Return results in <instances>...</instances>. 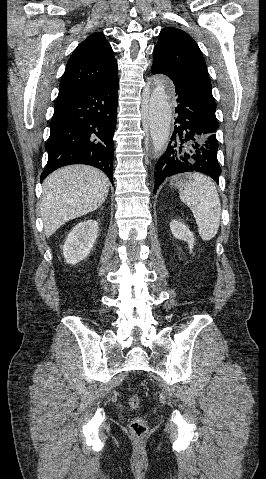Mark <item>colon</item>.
Wrapping results in <instances>:
<instances>
[{
	"label": "colon",
	"instance_id": "colon-1",
	"mask_svg": "<svg viewBox=\"0 0 266 479\" xmlns=\"http://www.w3.org/2000/svg\"><path fill=\"white\" fill-rule=\"evenodd\" d=\"M129 405L134 410L139 409L141 407L140 397L136 394L131 395L129 398ZM130 432L135 439L142 440L148 433V426L145 417H135L130 424Z\"/></svg>",
	"mask_w": 266,
	"mask_h": 479
}]
</instances>
